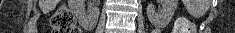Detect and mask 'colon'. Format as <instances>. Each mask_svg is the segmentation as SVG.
Instances as JSON below:
<instances>
[{
    "label": "colon",
    "instance_id": "1",
    "mask_svg": "<svg viewBox=\"0 0 235 33\" xmlns=\"http://www.w3.org/2000/svg\"><path fill=\"white\" fill-rule=\"evenodd\" d=\"M53 33H80L72 12L65 6L57 9L52 16ZM193 26L186 19H179L175 24L174 33H191Z\"/></svg>",
    "mask_w": 235,
    "mask_h": 33
}]
</instances>
